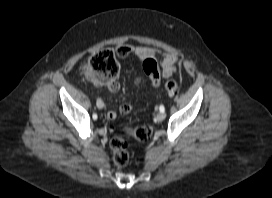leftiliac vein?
<instances>
[{
  "label": "left iliac vein",
  "mask_w": 272,
  "mask_h": 198,
  "mask_svg": "<svg viewBox=\"0 0 272 198\" xmlns=\"http://www.w3.org/2000/svg\"><path fill=\"white\" fill-rule=\"evenodd\" d=\"M166 117V114L165 112H159L157 115H156V120L157 121H163Z\"/></svg>",
  "instance_id": "left-iliac-vein-1"
}]
</instances>
